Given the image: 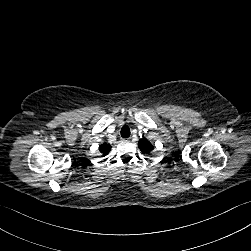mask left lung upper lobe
<instances>
[{
  "instance_id": "5c2ea615",
  "label": "left lung upper lobe",
  "mask_w": 251,
  "mask_h": 251,
  "mask_svg": "<svg viewBox=\"0 0 251 251\" xmlns=\"http://www.w3.org/2000/svg\"><path fill=\"white\" fill-rule=\"evenodd\" d=\"M138 147L143 154H150L154 148L153 145L146 138H143L139 141Z\"/></svg>"
}]
</instances>
